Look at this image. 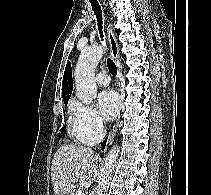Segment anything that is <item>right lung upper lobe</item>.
Returning <instances> with one entry per match:
<instances>
[{
  "label": "right lung upper lobe",
  "instance_id": "cb5924a9",
  "mask_svg": "<svg viewBox=\"0 0 211 195\" xmlns=\"http://www.w3.org/2000/svg\"><path fill=\"white\" fill-rule=\"evenodd\" d=\"M73 89V81H72V73H71V64L70 62L67 63L63 82H62V94H63V101L68 102L69 97L72 93Z\"/></svg>",
  "mask_w": 211,
  "mask_h": 195
}]
</instances>
